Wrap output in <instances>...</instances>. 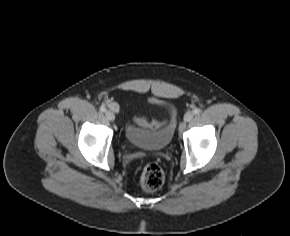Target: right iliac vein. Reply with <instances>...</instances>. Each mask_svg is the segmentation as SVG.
Returning a JSON list of instances; mask_svg holds the SVG:
<instances>
[{"label": "right iliac vein", "instance_id": "1", "mask_svg": "<svg viewBox=\"0 0 290 236\" xmlns=\"http://www.w3.org/2000/svg\"><path fill=\"white\" fill-rule=\"evenodd\" d=\"M105 115L109 121H113L115 119L114 113L110 110L106 111Z\"/></svg>", "mask_w": 290, "mask_h": 236}]
</instances>
